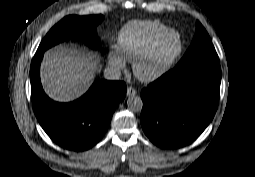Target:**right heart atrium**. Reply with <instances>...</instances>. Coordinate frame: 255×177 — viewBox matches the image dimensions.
Instances as JSON below:
<instances>
[{
    "label": "right heart atrium",
    "mask_w": 255,
    "mask_h": 177,
    "mask_svg": "<svg viewBox=\"0 0 255 177\" xmlns=\"http://www.w3.org/2000/svg\"><path fill=\"white\" fill-rule=\"evenodd\" d=\"M109 54L111 62L117 70L123 71L126 69L125 58L118 48L116 47L111 48Z\"/></svg>",
    "instance_id": "right-heart-atrium-1"
}]
</instances>
